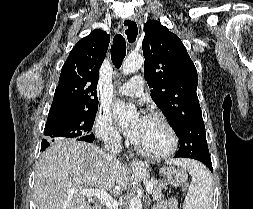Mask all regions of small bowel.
<instances>
[{
    "label": "small bowel",
    "instance_id": "obj_1",
    "mask_svg": "<svg viewBox=\"0 0 253 209\" xmlns=\"http://www.w3.org/2000/svg\"><path fill=\"white\" fill-rule=\"evenodd\" d=\"M157 209H178V202L175 198H170L167 201L161 202Z\"/></svg>",
    "mask_w": 253,
    "mask_h": 209
}]
</instances>
